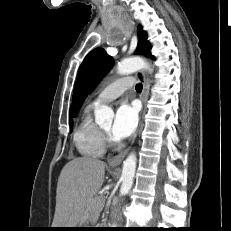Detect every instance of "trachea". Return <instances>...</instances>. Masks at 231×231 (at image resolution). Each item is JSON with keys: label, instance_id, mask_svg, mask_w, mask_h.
Here are the masks:
<instances>
[{"label": "trachea", "instance_id": "3493384b", "mask_svg": "<svg viewBox=\"0 0 231 231\" xmlns=\"http://www.w3.org/2000/svg\"><path fill=\"white\" fill-rule=\"evenodd\" d=\"M135 88H136V91L141 92L142 91V84H137Z\"/></svg>", "mask_w": 231, "mask_h": 231}]
</instances>
